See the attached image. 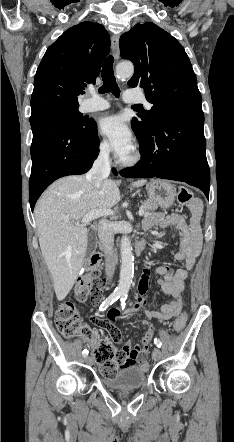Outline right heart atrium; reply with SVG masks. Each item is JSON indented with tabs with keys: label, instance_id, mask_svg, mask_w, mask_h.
<instances>
[{
	"label": "right heart atrium",
	"instance_id": "d8ad5b80",
	"mask_svg": "<svg viewBox=\"0 0 234 442\" xmlns=\"http://www.w3.org/2000/svg\"><path fill=\"white\" fill-rule=\"evenodd\" d=\"M110 152H111L110 145L106 141L101 140L97 146L98 157L102 160H107L110 156Z\"/></svg>",
	"mask_w": 234,
	"mask_h": 442
}]
</instances>
